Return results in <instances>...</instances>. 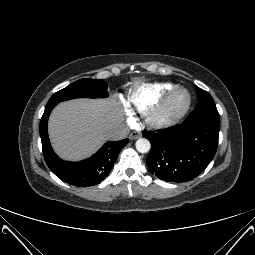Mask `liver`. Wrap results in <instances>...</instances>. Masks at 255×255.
<instances>
[{
    "label": "liver",
    "instance_id": "1",
    "mask_svg": "<svg viewBox=\"0 0 255 255\" xmlns=\"http://www.w3.org/2000/svg\"><path fill=\"white\" fill-rule=\"evenodd\" d=\"M121 111L115 98L75 99L62 102L51 113L49 137L65 160H81L100 148L108 132L119 126Z\"/></svg>",
    "mask_w": 255,
    "mask_h": 255
}]
</instances>
